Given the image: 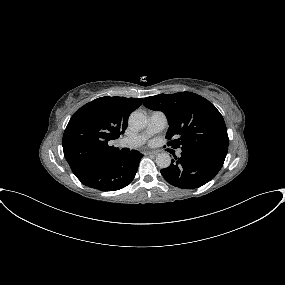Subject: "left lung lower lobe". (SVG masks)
<instances>
[{
    "label": "left lung lower lobe",
    "mask_w": 285,
    "mask_h": 285,
    "mask_svg": "<svg viewBox=\"0 0 285 285\" xmlns=\"http://www.w3.org/2000/svg\"><path fill=\"white\" fill-rule=\"evenodd\" d=\"M225 157L206 152H182L180 158L161 170L165 180L178 188L194 189L212 180L224 164Z\"/></svg>",
    "instance_id": "obj_1"
}]
</instances>
